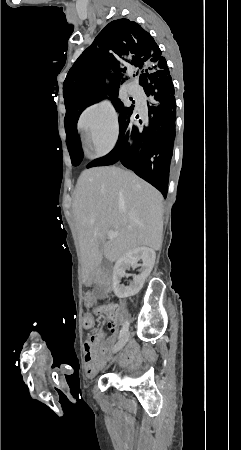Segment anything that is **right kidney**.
<instances>
[{"label": "right kidney", "mask_w": 241, "mask_h": 450, "mask_svg": "<svg viewBox=\"0 0 241 450\" xmlns=\"http://www.w3.org/2000/svg\"><path fill=\"white\" fill-rule=\"evenodd\" d=\"M156 254L151 248H133V250H128L126 254H123L119 260H117L113 268V290L117 298H129V296H135L143 288V284L148 278L152 268L155 264ZM139 260H142V264H138ZM138 276H134L133 282H130V286H124L120 284L122 278L127 276L126 270L130 268H138Z\"/></svg>", "instance_id": "1"}]
</instances>
